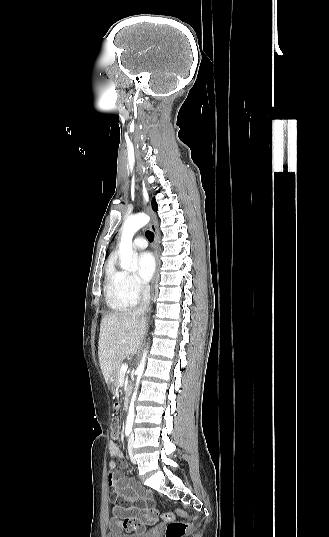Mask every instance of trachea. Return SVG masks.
I'll return each mask as SVG.
<instances>
[{
    "mask_svg": "<svg viewBox=\"0 0 329 537\" xmlns=\"http://www.w3.org/2000/svg\"><path fill=\"white\" fill-rule=\"evenodd\" d=\"M147 238L150 242H152L154 240V234L151 231H148Z\"/></svg>",
    "mask_w": 329,
    "mask_h": 537,
    "instance_id": "trachea-1",
    "label": "trachea"
}]
</instances>
